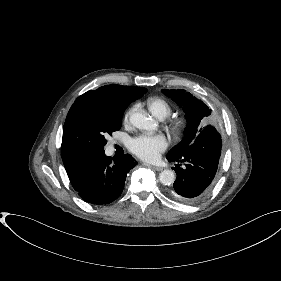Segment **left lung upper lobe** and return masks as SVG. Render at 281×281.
<instances>
[{
  "instance_id": "left-lung-upper-lobe-1",
  "label": "left lung upper lobe",
  "mask_w": 281,
  "mask_h": 281,
  "mask_svg": "<svg viewBox=\"0 0 281 281\" xmlns=\"http://www.w3.org/2000/svg\"><path fill=\"white\" fill-rule=\"evenodd\" d=\"M162 92L171 97L180 107H183L188 123L186 135L183 140L176 145L168 154L167 157L178 158L184 155L189 145H191L198 135L206 128H212L208 125L203 129V124L210 115L209 108L196 97L191 95L186 90H162Z\"/></svg>"
}]
</instances>
